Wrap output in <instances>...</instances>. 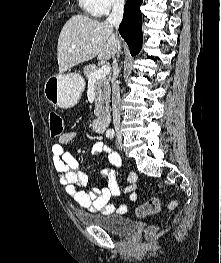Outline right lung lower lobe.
I'll use <instances>...</instances> for the list:
<instances>
[{"label":"right lung lower lobe","instance_id":"1","mask_svg":"<svg viewBox=\"0 0 221 263\" xmlns=\"http://www.w3.org/2000/svg\"><path fill=\"white\" fill-rule=\"evenodd\" d=\"M143 0H127L124 6L123 21L119 33L129 46L131 55H137L142 47V14L140 6Z\"/></svg>","mask_w":221,"mask_h":263}]
</instances>
